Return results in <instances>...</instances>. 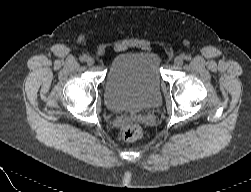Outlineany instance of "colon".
I'll list each match as a JSON object with an SVG mask.
<instances>
[{
  "mask_svg": "<svg viewBox=\"0 0 251 192\" xmlns=\"http://www.w3.org/2000/svg\"><path fill=\"white\" fill-rule=\"evenodd\" d=\"M143 135V129L138 123L127 125L122 131V137L127 142H134Z\"/></svg>",
  "mask_w": 251,
  "mask_h": 192,
  "instance_id": "1",
  "label": "colon"
}]
</instances>
